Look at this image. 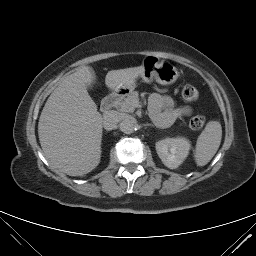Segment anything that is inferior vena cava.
Wrapping results in <instances>:
<instances>
[{"mask_svg": "<svg viewBox=\"0 0 256 256\" xmlns=\"http://www.w3.org/2000/svg\"><path fill=\"white\" fill-rule=\"evenodd\" d=\"M103 119V127L109 131L117 127V124L120 121V115L114 110L106 111L103 115Z\"/></svg>", "mask_w": 256, "mask_h": 256, "instance_id": "inferior-vena-cava-1", "label": "inferior vena cava"}]
</instances>
